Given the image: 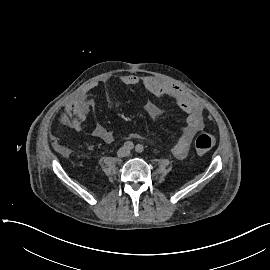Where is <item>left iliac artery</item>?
<instances>
[{"mask_svg":"<svg viewBox=\"0 0 270 270\" xmlns=\"http://www.w3.org/2000/svg\"><path fill=\"white\" fill-rule=\"evenodd\" d=\"M136 152L141 153L143 152L144 148L141 144L136 145L135 147Z\"/></svg>","mask_w":270,"mask_h":270,"instance_id":"left-iliac-artery-1","label":"left iliac artery"}]
</instances>
